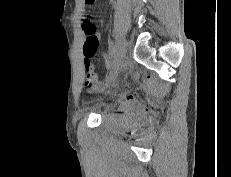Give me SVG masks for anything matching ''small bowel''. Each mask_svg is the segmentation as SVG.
<instances>
[{
    "mask_svg": "<svg viewBox=\"0 0 231 177\" xmlns=\"http://www.w3.org/2000/svg\"><path fill=\"white\" fill-rule=\"evenodd\" d=\"M84 67L86 70V86L94 90H103V87L100 85V82L98 81L97 77L92 72L93 65L91 59L84 57Z\"/></svg>",
    "mask_w": 231,
    "mask_h": 177,
    "instance_id": "small-bowel-1",
    "label": "small bowel"
}]
</instances>
